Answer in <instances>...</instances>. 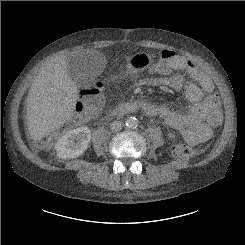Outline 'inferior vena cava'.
Returning <instances> with one entry per match:
<instances>
[{
	"mask_svg": "<svg viewBox=\"0 0 245 245\" xmlns=\"http://www.w3.org/2000/svg\"><path fill=\"white\" fill-rule=\"evenodd\" d=\"M110 128L114 132H118L122 129V122L121 121H113L110 125Z\"/></svg>",
	"mask_w": 245,
	"mask_h": 245,
	"instance_id": "1",
	"label": "inferior vena cava"
}]
</instances>
